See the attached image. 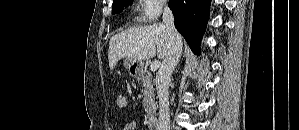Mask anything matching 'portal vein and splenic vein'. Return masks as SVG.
I'll list each match as a JSON object with an SVG mask.
<instances>
[{
    "label": "portal vein and splenic vein",
    "mask_w": 299,
    "mask_h": 130,
    "mask_svg": "<svg viewBox=\"0 0 299 130\" xmlns=\"http://www.w3.org/2000/svg\"><path fill=\"white\" fill-rule=\"evenodd\" d=\"M160 66V62L159 61H154L151 65H150V70L151 71H155L159 68Z\"/></svg>",
    "instance_id": "1"
}]
</instances>
